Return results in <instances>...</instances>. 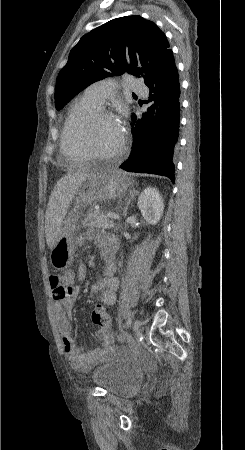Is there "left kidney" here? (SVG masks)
<instances>
[{
	"instance_id": "5707ae66",
	"label": "left kidney",
	"mask_w": 245,
	"mask_h": 450,
	"mask_svg": "<svg viewBox=\"0 0 245 450\" xmlns=\"http://www.w3.org/2000/svg\"><path fill=\"white\" fill-rule=\"evenodd\" d=\"M138 208L149 224H157L164 210L163 199L158 190L147 187L138 198Z\"/></svg>"
}]
</instances>
